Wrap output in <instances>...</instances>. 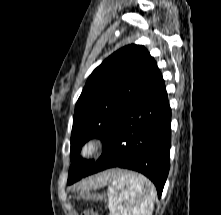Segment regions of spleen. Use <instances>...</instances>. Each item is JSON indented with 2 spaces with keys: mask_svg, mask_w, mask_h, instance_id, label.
Masks as SVG:
<instances>
[{
  "mask_svg": "<svg viewBox=\"0 0 221 215\" xmlns=\"http://www.w3.org/2000/svg\"><path fill=\"white\" fill-rule=\"evenodd\" d=\"M110 184V215H152L156 192L147 178L117 171Z\"/></svg>",
  "mask_w": 221,
  "mask_h": 215,
  "instance_id": "obj_1",
  "label": "spleen"
}]
</instances>
